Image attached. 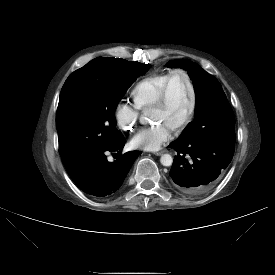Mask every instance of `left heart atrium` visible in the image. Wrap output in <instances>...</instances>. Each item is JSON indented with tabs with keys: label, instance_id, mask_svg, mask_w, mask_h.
<instances>
[{
	"label": "left heart atrium",
	"instance_id": "39dd6f15",
	"mask_svg": "<svg viewBox=\"0 0 275 275\" xmlns=\"http://www.w3.org/2000/svg\"><path fill=\"white\" fill-rule=\"evenodd\" d=\"M173 129L164 122H156L136 133L132 138V145L149 151L158 150L171 139Z\"/></svg>",
	"mask_w": 275,
	"mask_h": 275
}]
</instances>
